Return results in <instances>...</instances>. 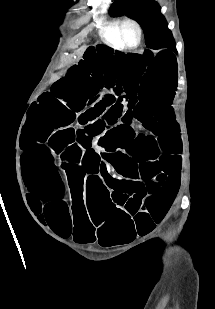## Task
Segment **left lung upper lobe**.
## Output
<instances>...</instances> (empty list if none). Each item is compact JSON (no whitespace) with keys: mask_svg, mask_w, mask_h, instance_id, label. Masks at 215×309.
<instances>
[{"mask_svg":"<svg viewBox=\"0 0 215 309\" xmlns=\"http://www.w3.org/2000/svg\"><path fill=\"white\" fill-rule=\"evenodd\" d=\"M111 12L114 15L128 14L134 18L144 30L147 47L161 49L175 46L160 7L154 0H115Z\"/></svg>","mask_w":215,"mask_h":309,"instance_id":"5c2ea615","label":"left lung upper lobe"}]
</instances>
